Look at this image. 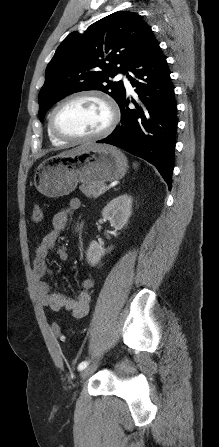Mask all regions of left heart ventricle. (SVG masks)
<instances>
[{"instance_id": "obj_1", "label": "left heart ventricle", "mask_w": 219, "mask_h": 447, "mask_svg": "<svg viewBox=\"0 0 219 447\" xmlns=\"http://www.w3.org/2000/svg\"><path fill=\"white\" fill-rule=\"evenodd\" d=\"M107 107L95 98H79L63 105L55 123L59 131L70 136H88L98 133L107 125Z\"/></svg>"}]
</instances>
